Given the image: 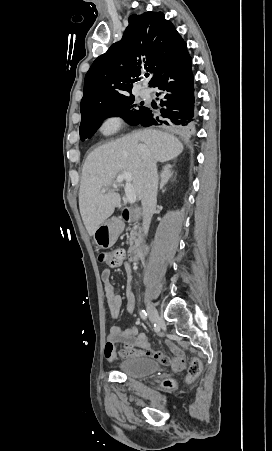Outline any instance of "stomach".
<instances>
[{
  "label": "stomach",
  "mask_w": 272,
  "mask_h": 451,
  "mask_svg": "<svg viewBox=\"0 0 272 451\" xmlns=\"http://www.w3.org/2000/svg\"><path fill=\"white\" fill-rule=\"evenodd\" d=\"M94 241L98 245L99 249H108L114 245L118 233L114 226H111L110 222H103L100 224L93 233Z\"/></svg>",
  "instance_id": "0dacf381"
}]
</instances>
